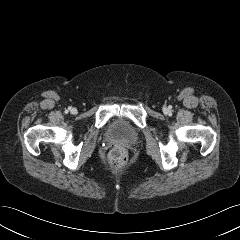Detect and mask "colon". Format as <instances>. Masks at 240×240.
<instances>
[{"instance_id":"1","label":"colon","mask_w":240,"mask_h":240,"mask_svg":"<svg viewBox=\"0 0 240 240\" xmlns=\"http://www.w3.org/2000/svg\"><path fill=\"white\" fill-rule=\"evenodd\" d=\"M128 161L127 150L121 146L112 147L107 155L108 165L114 170L122 169Z\"/></svg>"}]
</instances>
